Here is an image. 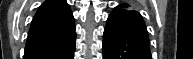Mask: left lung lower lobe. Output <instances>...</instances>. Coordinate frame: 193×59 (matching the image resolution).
<instances>
[{"label":"left lung lower lobe","mask_w":193,"mask_h":59,"mask_svg":"<svg viewBox=\"0 0 193 59\" xmlns=\"http://www.w3.org/2000/svg\"><path fill=\"white\" fill-rule=\"evenodd\" d=\"M149 37L141 16L112 12L103 40V59H151Z\"/></svg>","instance_id":"1"}]
</instances>
